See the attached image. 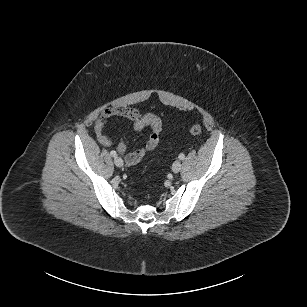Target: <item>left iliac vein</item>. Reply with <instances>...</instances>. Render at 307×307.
<instances>
[{
    "label": "left iliac vein",
    "instance_id": "4c4485c4",
    "mask_svg": "<svg viewBox=\"0 0 307 307\" xmlns=\"http://www.w3.org/2000/svg\"><path fill=\"white\" fill-rule=\"evenodd\" d=\"M181 169V162L179 160H176L172 165V170L174 173H178Z\"/></svg>",
    "mask_w": 307,
    "mask_h": 307
}]
</instances>
